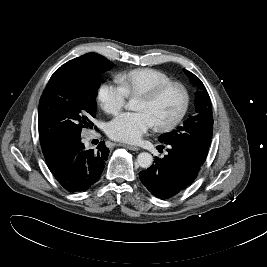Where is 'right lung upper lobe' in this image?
I'll list each match as a JSON object with an SVG mask.
<instances>
[{
  "instance_id": "1",
  "label": "right lung upper lobe",
  "mask_w": 267,
  "mask_h": 267,
  "mask_svg": "<svg viewBox=\"0 0 267 267\" xmlns=\"http://www.w3.org/2000/svg\"><path fill=\"white\" fill-rule=\"evenodd\" d=\"M63 144L53 145L52 147L46 149L43 151L45 159L47 161L51 160L53 155L57 152V150L62 146Z\"/></svg>"
}]
</instances>
